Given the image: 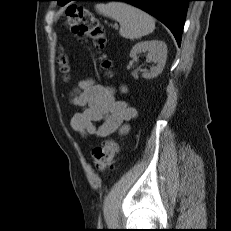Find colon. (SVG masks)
<instances>
[{"label": "colon", "mask_w": 231, "mask_h": 231, "mask_svg": "<svg viewBox=\"0 0 231 231\" xmlns=\"http://www.w3.org/2000/svg\"><path fill=\"white\" fill-rule=\"evenodd\" d=\"M67 24L71 32L80 37H87L93 40L99 49L104 48L106 37L104 29L97 18L84 6L70 4L66 8ZM104 66L110 65L109 61H104ZM60 70L64 75H68L71 69L70 61L64 54L59 57ZM118 154V145L113 140H107L92 150V158L95 168L98 171L108 169L114 162Z\"/></svg>", "instance_id": "1"}]
</instances>
